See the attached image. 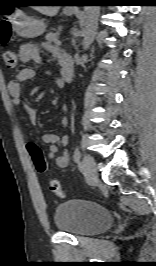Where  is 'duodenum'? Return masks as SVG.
<instances>
[{
  "label": "duodenum",
  "instance_id": "duodenum-1",
  "mask_svg": "<svg viewBox=\"0 0 156 266\" xmlns=\"http://www.w3.org/2000/svg\"><path fill=\"white\" fill-rule=\"evenodd\" d=\"M62 77L66 82H70L74 74V66L70 57H65L61 61Z\"/></svg>",
  "mask_w": 156,
  "mask_h": 266
}]
</instances>
